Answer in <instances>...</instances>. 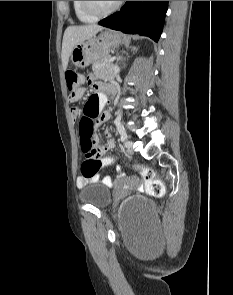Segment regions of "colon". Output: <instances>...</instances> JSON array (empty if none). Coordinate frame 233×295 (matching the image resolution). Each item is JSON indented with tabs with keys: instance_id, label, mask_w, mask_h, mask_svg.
Listing matches in <instances>:
<instances>
[{
	"instance_id": "5ec220e1",
	"label": "colon",
	"mask_w": 233,
	"mask_h": 295,
	"mask_svg": "<svg viewBox=\"0 0 233 295\" xmlns=\"http://www.w3.org/2000/svg\"><path fill=\"white\" fill-rule=\"evenodd\" d=\"M70 98H76L85 92L83 77L75 71H67L65 74ZM82 151L85 160L81 166L82 176L91 178L105 167L114 164L117 159L113 155L103 156L97 140L94 136V122L88 116H83L79 124ZM136 168L145 183L147 192L154 197H161L165 193L164 183L155 176L151 168L137 165Z\"/></svg>"
}]
</instances>
